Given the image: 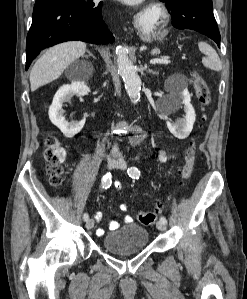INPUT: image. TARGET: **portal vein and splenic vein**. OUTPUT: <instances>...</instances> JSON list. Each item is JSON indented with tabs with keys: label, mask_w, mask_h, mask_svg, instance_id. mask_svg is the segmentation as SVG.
Segmentation results:
<instances>
[{
	"label": "portal vein and splenic vein",
	"mask_w": 247,
	"mask_h": 299,
	"mask_svg": "<svg viewBox=\"0 0 247 299\" xmlns=\"http://www.w3.org/2000/svg\"><path fill=\"white\" fill-rule=\"evenodd\" d=\"M170 60L168 58H155L150 60V64H169Z\"/></svg>",
	"instance_id": "obj_1"
}]
</instances>
